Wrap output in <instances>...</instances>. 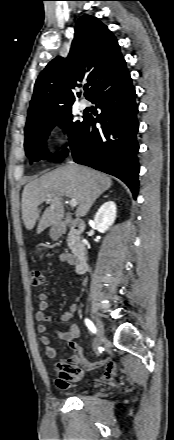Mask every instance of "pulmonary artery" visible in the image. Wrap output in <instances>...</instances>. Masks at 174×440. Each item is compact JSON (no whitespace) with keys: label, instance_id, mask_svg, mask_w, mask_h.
Wrapping results in <instances>:
<instances>
[{"label":"pulmonary artery","instance_id":"e3ab8cb5","mask_svg":"<svg viewBox=\"0 0 174 440\" xmlns=\"http://www.w3.org/2000/svg\"><path fill=\"white\" fill-rule=\"evenodd\" d=\"M89 106V102L87 100H81L79 102V108L80 109H86Z\"/></svg>","mask_w":174,"mask_h":440}]
</instances>
